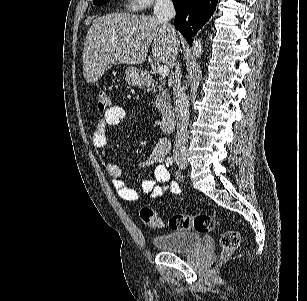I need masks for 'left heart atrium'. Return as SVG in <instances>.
Returning a JSON list of instances; mask_svg holds the SVG:
<instances>
[{"label": "left heart atrium", "instance_id": "1", "mask_svg": "<svg viewBox=\"0 0 307 301\" xmlns=\"http://www.w3.org/2000/svg\"><path fill=\"white\" fill-rule=\"evenodd\" d=\"M155 62H173V61H155Z\"/></svg>", "mask_w": 307, "mask_h": 301}]
</instances>
